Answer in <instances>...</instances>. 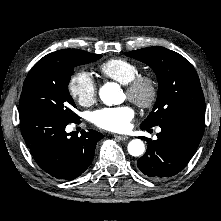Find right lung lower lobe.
Instances as JSON below:
<instances>
[{
    "instance_id": "98d812e1",
    "label": "right lung lower lobe",
    "mask_w": 221,
    "mask_h": 221,
    "mask_svg": "<svg viewBox=\"0 0 221 221\" xmlns=\"http://www.w3.org/2000/svg\"><path fill=\"white\" fill-rule=\"evenodd\" d=\"M22 136L37 164L48 174L71 180L91 164L97 142L104 136L89 129L66 133L68 122L56 115L28 110L19 114ZM77 122V121H76Z\"/></svg>"
}]
</instances>
